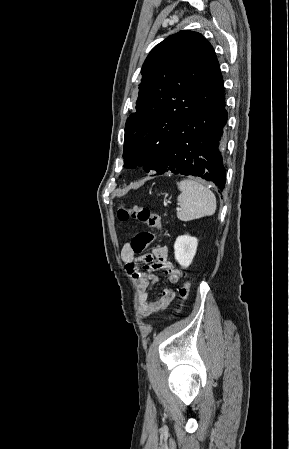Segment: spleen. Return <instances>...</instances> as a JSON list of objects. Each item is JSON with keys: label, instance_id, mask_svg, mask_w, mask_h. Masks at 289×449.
Masks as SVG:
<instances>
[{"label": "spleen", "instance_id": "spleen-1", "mask_svg": "<svg viewBox=\"0 0 289 449\" xmlns=\"http://www.w3.org/2000/svg\"><path fill=\"white\" fill-rule=\"evenodd\" d=\"M177 186L181 191L177 198L179 220L190 221L215 213L216 197L211 190L192 179H183L177 182Z\"/></svg>", "mask_w": 289, "mask_h": 449}]
</instances>
